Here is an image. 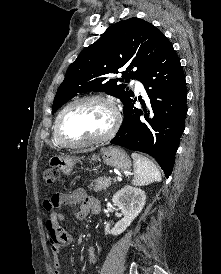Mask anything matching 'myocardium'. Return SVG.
Returning <instances> with one entry per match:
<instances>
[{
    "mask_svg": "<svg viewBox=\"0 0 221 274\" xmlns=\"http://www.w3.org/2000/svg\"><path fill=\"white\" fill-rule=\"evenodd\" d=\"M85 102H99V103L107 105L112 112V117H113L112 124H111L110 128L108 129V131L99 137L87 139V140H79V141L69 140L62 133L63 117L67 113V111L69 109H71L73 106L81 104V103H85ZM121 120H122V117H121L120 109L113 99H111L109 97L102 96V95L84 96V97H80V98H77V99L71 101L60 111V113L58 114V116L56 118L55 132H56V136H57L58 140L64 146L72 147V148L84 147V146L103 143V142L110 140L118 131V129L121 125Z\"/></svg>",
    "mask_w": 221,
    "mask_h": 274,
    "instance_id": "f54148a6",
    "label": "myocardium"
}]
</instances>
